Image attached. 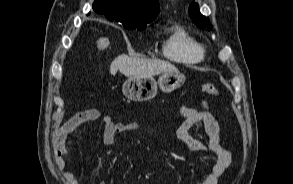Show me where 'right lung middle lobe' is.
<instances>
[{"label":"right lung middle lobe","instance_id":"right-lung-middle-lobe-1","mask_svg":"<svg viewBox=\"0 0 293 184\" xmlns=\"http://www.w3.org/2000/svg\"><path fill=\"white\" fill-rule=\"evenodd\" d=\"M124 27L126 29H130V30H133V29L143 30V29H145L146 24H144V23L127 24V25H124Z\"/></svg>","mask_w":293,"mask_h":184}]
</instances>
